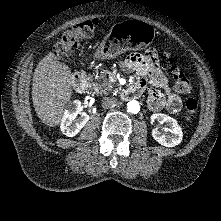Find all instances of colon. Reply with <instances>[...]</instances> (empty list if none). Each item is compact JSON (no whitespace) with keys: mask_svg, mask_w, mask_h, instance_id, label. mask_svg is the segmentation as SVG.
I'll use <instances>...</instances> for the list:
<instances>
[{"mask_svg":"<svg viewBox=\"0 0 221 221\" xmlns=\"http://www.w3.org/2000/svg\"><path fill=\"white\" fill-rule=\"evenodd\" d=\"M97 27L98 21L96 19H88L65 31L54 47V56L57 58H65L70 56L73 50L78 47L82 40L90 38L95 34ZM147 55L152 61H156L158 59V53L153 50L148 51ZM165 59L170 66V72L177 89L183 94H191L192 85L186 78L183 71L179 68L176 61L170 56H166ZM197 109V100L193 97L187 98L185 101L186 118H192Z\"/></svg>","mask_w":221,"mask_h":221,"instance_id":"colon-1","label":"colon"}]
</instances>
